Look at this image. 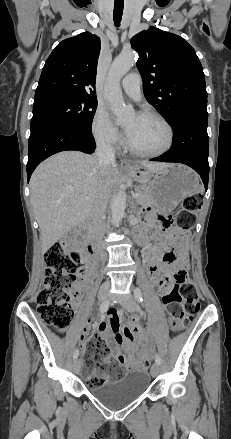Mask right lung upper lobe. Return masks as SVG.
Listing matches in <instances>:
<instances>
[{"label":"right lung upper lobe","instance_id":"obj_1","mask_svg":"<svg viewBox=\"0 0 231 439\" xmlns=\"http://www.w3.org/2000/svg\"><path fill=\"white\" fill-rule=\"evenodd\" d=\"M100 38L89 32L60 42L43 67L35 99L52 94L96 98L95 80Z\"/></svg>","mask_w":231,"mask_h":439}]
</instances>
